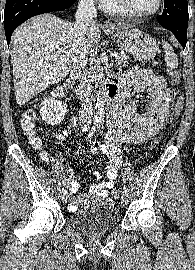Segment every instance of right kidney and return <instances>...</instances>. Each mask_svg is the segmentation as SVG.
Masks as SVG:
<instances>
[{
  "instance_id": "ca27d5eb",
  "label": "right kidney",
  "mask_w": 195,
  "mask_h": 270,
  "mask_svg": "<svg viewBox=\"0 0 195 270\" xmlns=\"http://www.w3.org/2000/svg\"><path fill=\"white\" fill-rule=\"evenodd\" d=\"M66 106L60 100L44 98L41 101L40 114L42 120L50 125L60 124L66 114Z\"/></svg>"
}]
</instances>
